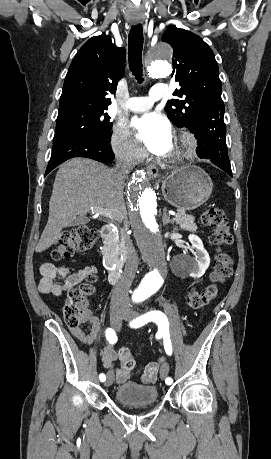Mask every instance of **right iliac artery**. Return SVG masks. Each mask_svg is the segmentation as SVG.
<instances>
[{
  "label": "right iliac artery",
  "mask_w": 271,
  "mask_h": 459,
  "mask_svg": "<svg viewBox=\"0 0 271 459\" xmlns=\"http://www.w3.org/2000/svg\"><path fill=\"white\" fill-rule=\"evenodd\" d=\"M105 333H106V339L109 341V343L115 344L117 341V336H116L115 331L112 328H107ZM99 379L101 382L105 381L106 380L105 374L103 373L100 374Z\"/></svg>",
  "instance_id": "82829eb1"
}]
</instances>
